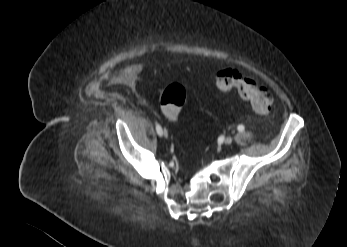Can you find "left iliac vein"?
Wrapping results in <instances>:
<instances>
[{
	"instance_id": "left-iliac-vein-1",
	"label": "left iliac vein",
	"mask_w": 347,
	"mask_h": 247,
	"mask_svg": "<svg viewBox=\"0 0 347 247\" xmlns=\"http://www.w3.org/2000/svg\"><path fill=\"white\" fill-rule=\"evenodd\" d=\"M232 142H233L232 137H227V138H225V140H224V143H225L226 145H230Z\"/></svg>"
}]
</instances>
